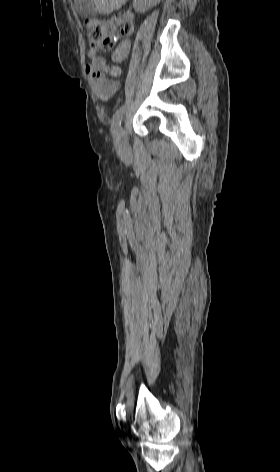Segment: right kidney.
I'll return each instance as SVG.
<instances>
[{"label":"right kidney","mask_w":280,"mask_h":472,"mask_svg":"<svg viewBox=\"0 0 280 472\" xmlns=\"http://www.w3.org/2000/svg\"><path fill=\"white\" fill-rule=\"evenodd\" d=\"M160 0H133V7L136 12L144 13L153 6H155Z\"/></svg>","instance_id":"obj_1"}]
</instances>
